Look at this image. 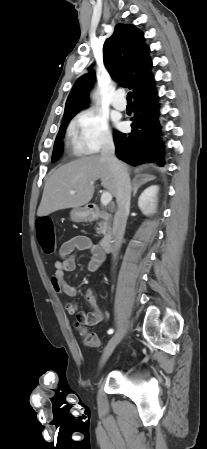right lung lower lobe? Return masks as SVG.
I'll return each mask as SVG.
<instances>
[{
	"mask_svg": "<svg viewBox=\"0 0 207 449\" xmlns=\"http://www.w3.org/2000/svg\"><path fill=\"white\" fill-rule=\"evenodd\" d=\"M131 133L114 131L116 156L132 165L165 163L164 143L159 124L158 96L155 87L134 97Z\"/></svg>",
	"mask_w": 207,
	"mask_h": 449,
	"instance_id": "1",
	"label": "right lung lower lobe"
}]
</instances>
